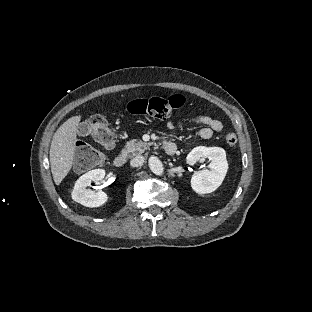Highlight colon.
Returning <instances> with one entry per match:
<instances>
[{"mask_svg": "<svg viewBox=\"0 0 312 312\" xmlns=\"http://www.w3.org/2000/svg\"><path fill=\"white\" fill-rule=\"evenodd\" d=\"M182 104L183 96L176 93L169 97L135 99L128 104V111L131 114L148 115L152 119L162 120L173 109L180 108ZM87 130L103 147L110 149L115 145L114 130L105 116L93 114L88 120ZM225 142L228 146L234 147L237 144V136L234 133H228L225 136ZM78 156L89 167L98 164L103 158L102 153L91 150L79 151Z\"/></svg>", "mask_w": 312, "mask_h": 312, "instance_id": "obj_1", "label": "colon"}]
</instances>
